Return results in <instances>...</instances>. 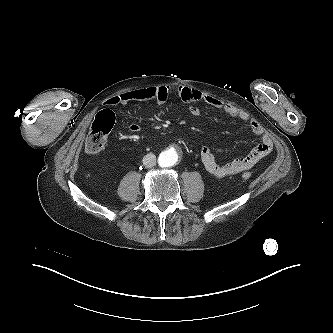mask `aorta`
<instances>
[{"label":"aorta","instance_id":"aorta-1","mask_svg":"<svg viewBox=\"0 0 333 333\" xmlns=\"http://www.w3.org/2000/svg\"><path fill=\"white\" fill-rule=\"evenodd\" d=\"M159 165L161 167H171L176 163V159L173 157L172 153L169 151L162 152L159 155Z\"/></svg>","mask_w":333,"mask_h":333}]
</instances>
